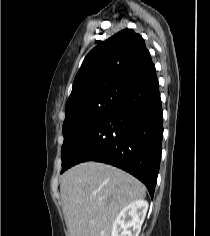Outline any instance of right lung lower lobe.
Here are the masks:
<instances>
[{"instance_id": "obj_1", "label": "right lung lower lobe", "mask_w": 210, "mask_h": 236, "mask_svg": "<svg viewBox=\"0 0 210 236\" xmlns=\"http://www.w3.org/2000/svg\"><path fill=\"white\" fill-rule=\"evenodd\" d=\"M156 71L128 87L81 142L62 172L84 161L119 167L142 181L151 197L163 138Z\"/></svg>"}]
</instances>
